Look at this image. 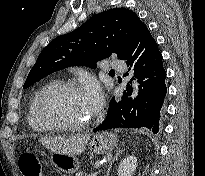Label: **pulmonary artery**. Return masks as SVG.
Returning <instances> with one entry per match:
<instances>
[{"label":"pulmonary artery","mask_w":205,"mask_h":176,"mask_svg":"<svg viewBox=\"0 0 205 176\" xmlns=\"http://www.w3.org/2000/svg\"><path fill=\"white\" fill-rule=\"evenodd\" d=\"M110 67L114 70V71H119V72H124L126 70V66L120 62L119 60L115 59L114 61H112L110 63Z\"/></svg>","instance_id":"pulmonary-artery-1"}]
</instances>
